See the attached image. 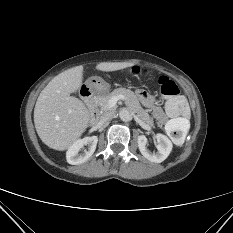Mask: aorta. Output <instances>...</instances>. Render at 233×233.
<instances>
[{"instance_id": "1", "label": "aorta", "mask_w": 233, "mask_h": 233, "mask_svg": "<svg viewBox=\"0 0 233 233\" xmlns=\"http://www.w3.org/2000/svg\"><path fill=\"white\" fill-rule=\"evenodd\" d=\"M119 117L122 121H125V122L131 120V114L129 113L127 109H121L119 111Z\"/></svg>"}]
</instances>
